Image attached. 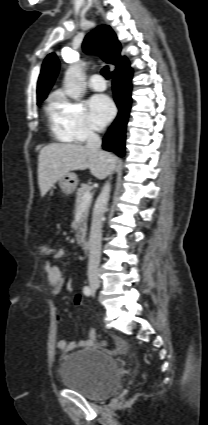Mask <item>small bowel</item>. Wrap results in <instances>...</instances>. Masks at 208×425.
Returning <instances> with one entry per match:
<instances>
[{
  "mask_svg": "<svg viewBox=\"0 0 208 425\" xmlns=\"http://www.w3.org/2000/svg\"><path fill=\"white\" fill-rule=\"evenodd\" d=\"M64 255H65L64 250L60 249L55 252L54 257L56 259H59V258H62ZM44 269L48 278L50 294L52 296H56L62 291L64 286L65 278H64L63 272L57 265L51 263L49 260L45 261ZM55 316L57 319L60 318V314L58 311L55 312ZM95 337H96V330L92 329L89 332L88 337L86 339L80 340L78 342H68L66 340H59L57 342V347L64 352H71L75 350L77 347L93 345L95 342ZM116 344L118 345L120 349L125 348V344L120 340H116Z\"/></svg>",
  "mask_w": 208,
  "mask_h": 425,
  "instance_id": "obj_1",
  "label": "small bowel"
}]
</instances>
